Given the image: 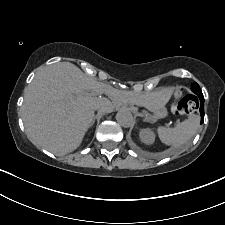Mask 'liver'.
<instances>
[{"label": "liver", "mask_w": 225, "mask_h": 225, "mask_svg": "<svg viewBox=\"0 0 225 225\" xmlns=\"http://www.w3.org/2000/svg\"><path fill=\"white\" fill-rule=\"evenodd\" d=\"M102 94L112 98V102ZM73 95L72 99H67ZM149 95L117 90L84 74L70 62L40 68L24 92L22 119L28 139L58 156L76 150L100 106L118 103L143 106Z\"/></svg>", "instance_id": "1"}]
</instances>
